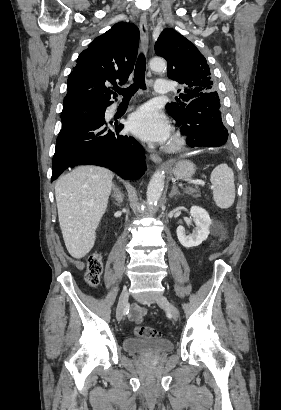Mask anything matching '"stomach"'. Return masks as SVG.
<instances>
[{
  "instance_id": "obj_1",
  "label": "stomach",
  "mask_w": 281,
  "mask_h": 410,
  "mask_svg": "<svg viewBox=\"0 0 281 410\" xmlns=\"http://www.w3.org/2000/svg\"><path fill=\"white\" fill-rule=\"evenodd\" d=\"M195 171V164L188 160L177 162L172 169V173L177 179H189L194 175Z\"/></svg>"
}]
</instances>
